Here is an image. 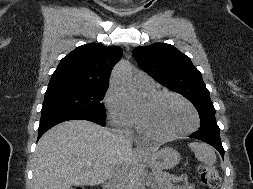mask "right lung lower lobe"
Wrapping results in <instances>:
<instances>
[{"label":"right lung lower lobe","mask_w":253,"mask_h":189,"mask_svg":"<svg viewBox=\"0 0 253 189\" xmlns=\"http://www.w3.org/2000/svg\"><path fill=\"white\" fill-rule=\"evenodd\" d=\"M74 119H83L97 122L105 126V119L92 115L72 113V112H47L41 114L40 125L38 129V139L53 126Z\"/></svg>","instance_id":"obj_1"}]
</instances>
